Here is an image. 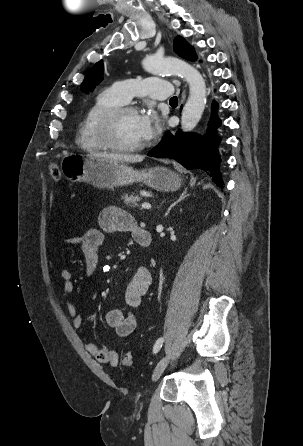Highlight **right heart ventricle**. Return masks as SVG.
<instances>
[{
    "label": "right heart ventricle",
    "instance_id": "1",
    "mask_svg": "<svg viewBox=\"0 0 303 446\" xmlns=\"http://www.w3.org/2000/svg\"><path fill=\"white\" fill-rule=\"evenodd\" d=\"M125 102L118 96L113 87L101 91L93 100L79 124L76 144L85 151L106 149L96 135V124L99 116L108 108L122 105Z\"/></svg>",
    "mask_w": 303,
    "mask_h": 446
}]
</instances>
